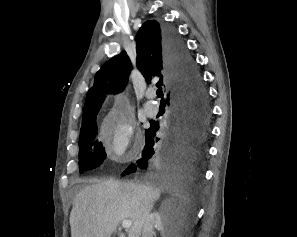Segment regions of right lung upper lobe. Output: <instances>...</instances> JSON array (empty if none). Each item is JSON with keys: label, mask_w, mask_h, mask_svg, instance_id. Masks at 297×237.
Here are the masks:
<instances>
[{"label": "right lung upper lobe", "mask_w": 297, "mask_h": 237, "mask_svg": "<svg viewBox=\"0 0 297 237\" xmlns=\"http://www.w3.org/2000/svg\"><path fill=\"white\" fill-rule=\"evenodd\" d=\"M137 42V68L150 83L154 76H159L157 86L165 84L171 88L172 77L165 57L163 45V25L155 20L146 21L135 38ZM132 64L125 51L109 60L94 78V86L89 90L83 110L81 130L96 123L95 116L104 101L106 93H118L127 84ZM164 74V76L161 74Z\"/></svg>", "instance_id": "right-lung-upper-lobe-1"}]
</instances>
